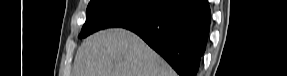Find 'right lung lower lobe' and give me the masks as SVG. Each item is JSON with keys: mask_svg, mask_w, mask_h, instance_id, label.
<instances>
[{"mask_svg": "<svg viewBox=\"0 0 287 76\" xmlns=\"http://www.w3.org/2000/svg\"><path fill=\"white\" fill-rule=\"evenodd\" d=\"M209 28L208 0H167L151 19L126 29L139 35L180 76H196Z\"/></svg>", "mask_w": 287, "mask_h": 76, "instance_id": "obj_1", "label": "right lung lower lobe"}]
</instances>
